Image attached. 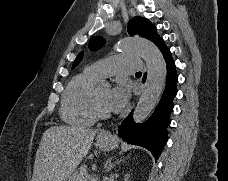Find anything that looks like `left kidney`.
Listing matches in <instances>:
<instances>
[{
    "mask_svg": "<svg viewBox=\"0 0 228 181\" xmlns=\"http://www.w3.org/2000/svg\"><path fill=\"white\" fill-rule=\"evenodd\" d=\"M128 179H129V175H125L124 181H128Z\"/></svg>",
    "mask_w": 228,
    "mask_h": 181,
    "instance_id": "left-kidney-1",
    "label": "left kidney"
}]
</instances>
